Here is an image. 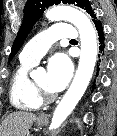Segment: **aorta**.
Wrapping results in <instances>:
<instances>
[{
	"mask_svg": "<svg viewBox=\"0 0 117 136\" xmlns=\"http://www.w3.org/2000/svg\"><path fill=\"white\" fill-rule=\"evenodd\" d=\"M46 17L50 21H68L72 23L77 27L81 40V55L76 75L52 117L50 128L57 129L87 89L94 71L98 45L96 30L83 12L69 6H55L47 11Z\"/></svg>",
	"mask_w": 117,
	"mask_h": 136,
	"instance_id": "aorta-1",
	"label": "aorta"
}]
</instances>
